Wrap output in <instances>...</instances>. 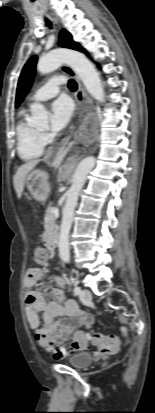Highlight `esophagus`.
I'll list each match as a JSON object with an SVG mask.
<instances>
[{
    "mask_svg": "<svg viewBox=\"0 0 155 413\" xmlns=\"http://www.w3.org/2000/svg\"><path fill=\"white\" fill-rule=\"evenodd\" d=\"M54 20H55L56 23H58L56 18H54ZM62 70L65 73H67L68 75L72 76L78 84V89H77V92H76V102H77V104L79 106L83 105L84 103L91 104L92 103L91 99L87 95L86 90H85L80 78L78 77L77 73L68 65H63ZM84 112H85V109H84V107H82L81 113H84Z\"/></svg>",
    "mask_w": 155,
    "mask_h": 413,
    "instance_id": "1",
    "label": "esophagus"
}]
</instances>
